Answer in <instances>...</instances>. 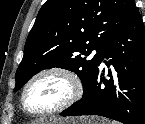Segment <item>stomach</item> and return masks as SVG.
Here are the masks:
<instances>
[{"label":"stomach","mask_w":145,"mask_h":124,"mask_svg":"<svg viewBox=\"0 0 145 124\" xmlns=\"http://www.w3.org/2000/svg\"><path fill=\"white\" fill-rule=\"evenodd\" d=\"M44 124H107L97 117L64 118L47 121Z\"/></svg>","instance_id":"0dacf381"}]
</instances>
